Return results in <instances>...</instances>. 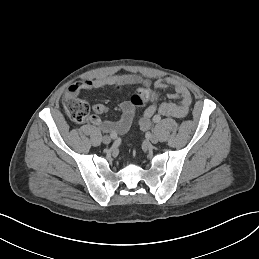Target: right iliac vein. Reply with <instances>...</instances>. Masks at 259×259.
I'll return each instance as SVG.
<instances>
[{
    "mask_svg": "<svg viewBox=\"0 0 259 259\" xmlns=\"http://www.w3.org/2000/svg\"><path fill=\"white\" fill-rule=\"evenodd\" d=\"M102 141L104 144H109L111 142V137L106 135L102 138Z\"/></svg>",
    "mask_w": 259,
    "mask_h": 259,
    "instance_id": "right-iliac-vein-1",
    "label": "right iliac vein"
}]
</instances>
